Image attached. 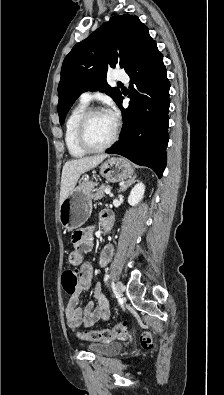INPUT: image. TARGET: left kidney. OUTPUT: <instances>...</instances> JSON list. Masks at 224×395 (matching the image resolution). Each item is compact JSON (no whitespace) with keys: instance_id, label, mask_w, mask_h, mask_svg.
Wrapping results in <instances>:
<instances>
[{"instance_id":"1","label":"left kidney","mask_w":224,"mask_h":395,"mask_svg":"<svg viewBox=\"0 0 224 395\" xmlns=\"http://www.w3.org/2000/svg\"><path fill=\"white\" fill-rule=\"evenodd\" d=\"M145 185L142 182H138L131 190L128 197V203L132 206L137 205L144 196Z\"/></svg>"}]
</instances>
